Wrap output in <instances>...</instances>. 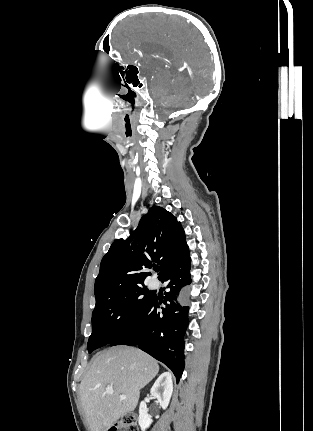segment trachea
<instances>
[{"label":"trachea","instance_id":"obj_1","mask_svg":"<svg viewBox=\"0 0 313 431\" xmlns=\"http://www.w3.org/2000/svg\"><path fill=\"white\" fill-rule=\"evenodd\" d=\"M155 270H156V271H159V268H156Z\"/></svg>","mask_w":313,"mask_h":431}]
</instances>
